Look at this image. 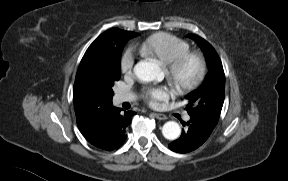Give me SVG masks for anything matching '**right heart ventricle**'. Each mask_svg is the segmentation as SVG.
<instances>
[{"label":"right heart ventricle","instance_id":"obj_1","mask_svg":"<svg viewBox=\"0 0 288 181\" xmlns=\"http://www.w3.org/2000/svg\"><path fill=\"white\" fill-rule=\"evenodd\" d=\"M144 55L155 57L163 64L190 50V45L168 33H157L147 38L140 47Z\"/></svg>","mask_w":288,"mask_h":181}]
</instances>
